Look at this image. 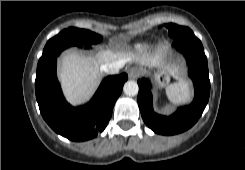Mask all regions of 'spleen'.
<instances>
[{
    "mask_svg": "<svg viewBox=\"0 0 245 170\" xmlns=\"http://www.w3.org/2000/svg\"><path fill=\"white\" fill-rule=\"evenodd\" d=\"M166 94L169 100L175 104L186 103L190 101L192 96L190 82L187 80H181L170 84L166 88Z\"/></svg>",
    "mask_w": 245,
    "mask_h": 170,
    "instance_id": "obj_1",
    "label": "spleen"
}]
</instances>
